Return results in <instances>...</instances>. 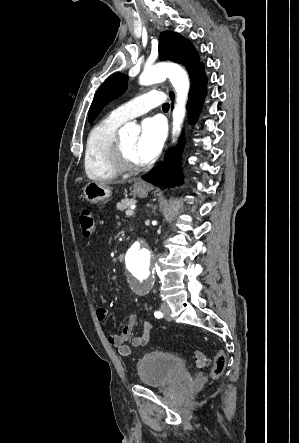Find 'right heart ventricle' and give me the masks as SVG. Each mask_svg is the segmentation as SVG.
Segmentation results:
<instances>
[{"label":"right heart ventricle","instance_id":"e07e8e85","mask_svg":"<svg viewBox=\"0 0 299 443\" xmlns=\"http://www.w3.org/2000/svg\"><path fill=\"white\" fill-rule=\"evenodd\" d=\"M122 123L123 121L109 115L90 131L85 146L84 167L91 180H110L118 175L119 172L112 165L110 153Z\"/></svg>","mask_w":299,"mask_h":443}]
</instances>
